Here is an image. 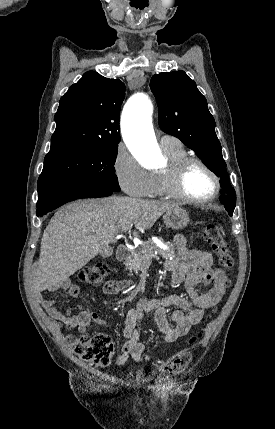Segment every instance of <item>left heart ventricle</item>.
Instances as JSON below:
<instances>
[{"label": "left heart ventricle", "instance_id": "1", "mask_svg": "<svg viewBox=\"0 0 275 429\" xmlns=\"http://www.w3.org/2000/svg\"><path fill=\"white\" fill-rule=\"evenodd\" d=\"M183 191L190 197L198 200L208 198L214 191L212 177L200 165H192L186 171L183 182Z\"/></svg>", "mask_w": 275, "mask_h": 429}]
</instances>
